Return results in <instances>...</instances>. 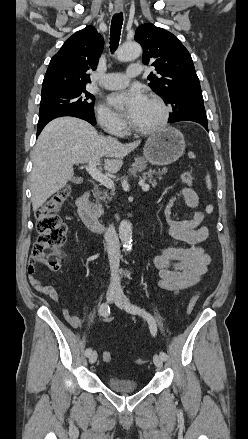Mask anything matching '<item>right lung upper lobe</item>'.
I'll return each mask as SVG.
<instances>
[{
    "instance_id": "obj_1",
    "label": "right lung upper lobe",
    "mask_w": 248,
    "mask_h": 439,
    "mask_svg": "<svg viewBox=\"0 0 248 439\" xmlns=\"http://www.w3.org/2000/svg\"><path fill=\"white\" fill-rule=\"evenodd\" d=\"M103 44V38L93 26H87L69 37L49 63L42 95L85 87L90 83L88 71L96 69Z\"/></svg>"
}]
</instances>
